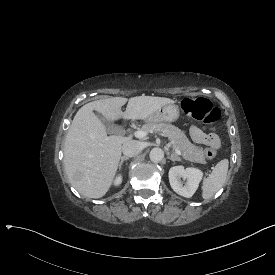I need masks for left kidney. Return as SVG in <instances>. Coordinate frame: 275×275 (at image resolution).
<instances>
[{
    "label": "left kidney",
    "instance_id": "left-kidney-1",
    "mask_svg": "<svg viewBox=\"0 0 275 275\" xmlns=\"http://www.w3.org/2000/svg\"><path fill=\"white\" fill-rule=\"evenodd\" d=\"M204 173L201 169L182 165L171 167L169 170V182L172 189L185 197H192L198 189L202 181ZM181 178L187 179L186 183L181 181Z\"/></svg>",
    "mask_w": 275,
    "mask_h": 275
}]
</instances>
